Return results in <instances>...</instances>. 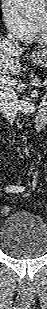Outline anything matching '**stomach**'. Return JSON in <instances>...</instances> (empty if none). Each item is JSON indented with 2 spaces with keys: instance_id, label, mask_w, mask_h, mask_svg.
<instances>
[{
  "instance_id": "obj_1",
  "label": "stomach",
  "mask_w": 47,
  "mask_h": 309,
  "mask_svg": "<svg viewBox=\"0 0 47 309\" xmlns=\"http://www.w3.org/2000/svg\"><path fill=\"white\" fill-rule=\"evenodd\" d=\"M31 59L37 65L47 68V47L36 51Z\"/></svg>"
}]
</instances>
